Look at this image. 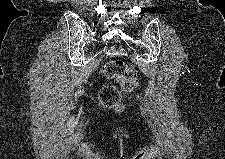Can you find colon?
Returning <instances> with one entry per match:
<instances>
[{
	"mask_svg": "<svg viewBox=\"0 0 225 159\" xmlns=\"http://www.w3.org/2000/svg\"><path fill=\"white\" fill-rule=\"evenodd\" d=\"M102 72L105 78L118 80L121 89L115 86L102 88L99 98L106 107L114 106L120 101L121 91L133 92L140 86L136 71L121 59H114L105 63Z\"/></svg>",
	"mask_w": 225,
	"mask_h": 159,
	"instance_id": "5ec220e1",
	"label": "colon"
}]
</instances>
